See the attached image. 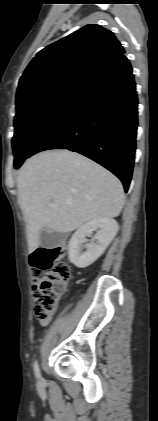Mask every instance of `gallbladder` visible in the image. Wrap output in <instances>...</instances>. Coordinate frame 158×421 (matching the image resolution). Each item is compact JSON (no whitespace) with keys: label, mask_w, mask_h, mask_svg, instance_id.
I'll return each instance as SVG.
<instances>
[{"label":"gallbladder","mask_w":158,"mask_h":421,"mask_svg":"<svg viewBox=\"0 0 158 421\" xmlns=\"http://www.w3.org/2000/svg\"><path fill=\"white\" fill-rule=\"evenodd\" d=\"M66 239V234L61 232H49L43 228L39 235L40 244L45 249H52L62 244Z\"/></svg>","instance_id":"gallbladder-1"}]
</instances>
